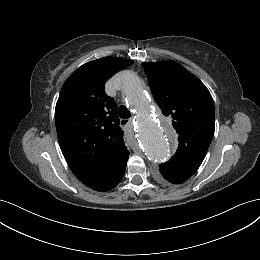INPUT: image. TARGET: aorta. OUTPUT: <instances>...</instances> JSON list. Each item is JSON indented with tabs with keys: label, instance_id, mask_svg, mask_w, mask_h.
Segmentation results:
<instances>
[{
	"label": "aorta",
	"instance_id": "obj_1",
	"mask_svg": "<svg viewBox=\"0 0 260 260\" xmlns=\"http://www.w3.org/2000/svg\"><path fill=\"white\" fill-rule=\"evenodd\" d=\"M121 91L132 110L137 114V139L147 158L153 163L165 162L173 150L175 136L170 126L151 112L142 80L132 72L121 78Z\"/></svg>",
	"mask_w": 260,
	"mask_h": 260
}]
</instances>
